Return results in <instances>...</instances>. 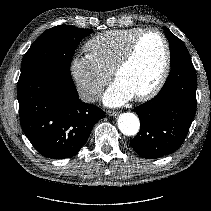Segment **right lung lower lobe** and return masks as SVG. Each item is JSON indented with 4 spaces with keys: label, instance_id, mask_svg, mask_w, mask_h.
I'll return each instance as SVG.
<instances>
[{
    "label": "right lung lower lobe",
    "instance_id": "98d812e1",
    "mask_svg": "<svg viewBox=\"0 0 211 211\" xmlns=\"http://www.w3.org/2000/svg\"><path fill=\"white\" fill-rule=\"evenodd\" d=\"M20 123L34 148L52 159L70 158L86 143L103 110L83 103L71 74L41 68L19 78Z\"/></svg>",
    "mask_w": 211,
    "mask_h": 211
}]
</instances>
